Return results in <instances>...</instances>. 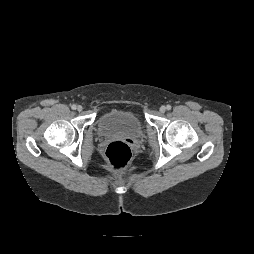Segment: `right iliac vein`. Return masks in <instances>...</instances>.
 Returning <instances> with one entry per match:
<instances>
[{
    "label": "right iliac vein",
    "mask_w": 254,
    "mask_h": 254,
    "mask_svg": "<svg viewBox=\"0 0 254 254\" xmlns=\"http://www.w3.org/2000/svg\"><path fill=\"white\" fill-rule=\"evenodd\" d=\"M76 109L80 112V111H82V106L81 105H78L77 107H76Z\"/></svg>",
    "instance_id": "right-iliac-vein-1"
}]
</instances>
